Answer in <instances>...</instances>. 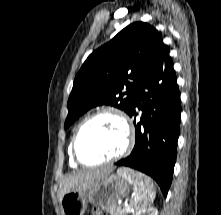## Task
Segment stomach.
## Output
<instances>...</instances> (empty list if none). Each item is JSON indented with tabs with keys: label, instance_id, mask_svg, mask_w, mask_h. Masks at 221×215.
<instances>
[{
	"label": "stomach",
	"instance_id": "1",
	"mask_svg": "<svg viewBox=\"0 0 221 215\" xmlns=\"http://www.w3.org/2000/svg\"><path fill=\"white\" fill-rule=\"evenodd\" d=\"M128 176L132 181L141 182L146 177L123 168L117 174L104 177L90 189L65 193L60 200L62 215H83L89 203L102 208L116 205L120 199L127 196L133 184Z\"/></svg>",
	"mask_w": 221,
	"mask_h": 215
}]
</instances>
